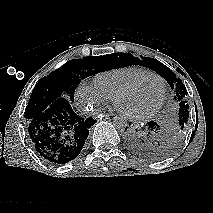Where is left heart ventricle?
Returning a JSON list of instances; mask_svg holds the SVG:
<instances>
[{
  "instance_id": "1",
  "label": "left heart ventricle",
  "mask_w": 213,
  "mask_h": 213,
  "mask_svg": "<svg viewBox=\"0 0 213 213\" xmlns=\"http://www.w3.org/2000/svg\"><path fill=\"white\" fill-rule=\"evenodd\" d=\"M163 93L162 82L157 78L149 77L120 98L118 105L124 112L141 114L155 107L161 101Z\"/></svg>"
}]
</instances>
